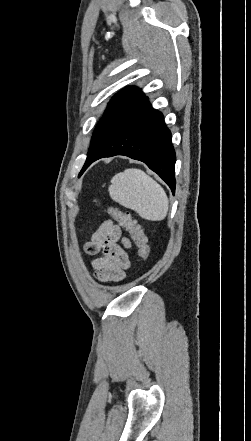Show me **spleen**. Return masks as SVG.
<instances>
[{
	"mask_svg": "<svg viewBox=\"0 0 251 441\" xmlns=\"http://www.w3.org/2000/svg\"><path fill=\"white\" fill-rule=\"evenodd\" d=\"M109 195L120 205L150 221L163 220L169 200L164 189L141 169L130 168L111 179Z\"/></svg>",
	"mask_w": 251,
	"mask_h": 441,
	"instance_id": "1",
	"label": "spleen"
}]
</instances>
